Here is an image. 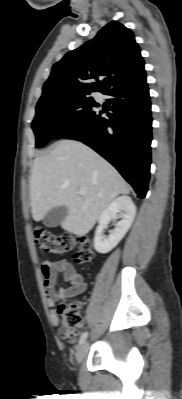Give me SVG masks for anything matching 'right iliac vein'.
<instances>
[{
  "instance_id": "63e3f726",
  "label": "right iliac vein",
  "mask_w": 182,
  "mask_h": 399,
  "mask_svg": "<svg viewBox=\"0 0 182 399\" xmlns=\"http://www.w3.org/2000/svg\"><path fill=\"white\" fill-rule=\"evenodd\" d=\"M88 349H89V344L88 342H84L77 350L76 353V359H77V363L81 364L83 362V360L85 359L87 353H88Z\"/></svg>"
}]
</instances>
